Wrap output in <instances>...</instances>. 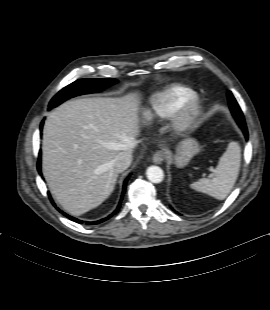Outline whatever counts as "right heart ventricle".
<instances>
[{
  "mask_svg": "<svg viewBox=\"0 0 270 310\" xmlns=\"http://www.w3.org/2000/svg\"><path fill=\"white\" fill-rule=\"evenodd\" d=\"M193 94L194 91L191 88L179 84L154 92L143 108L144 121L153 123L169 119L175 109Z\"/></svg>",
  "mask_w": 270,
  "mask_h": 310,
  "instance_id": "right-heart-ventricle-1",
  "label": "right heart ventricle"
}]
</instances>
